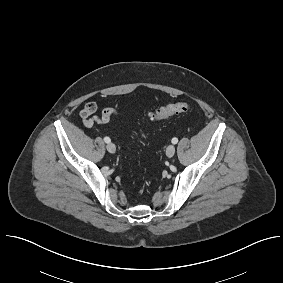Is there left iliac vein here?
Masks as SVG:
<instances>
[{"label": "left iliac vein", "mask_w": 283, "mask_h": 283, "mask_svg": "<svg viewBox=\"0 0 283 283\" xmlns=\"http://www.w3.org/2000/svg\"><path fill=\"white\" fill-rule=\"evenodd\" d=\"M175 154V146L173 144L169 145L166 149L167 157L171 158Z\"/></svg>", "instance_id": "left-iliac-vein-1"}]
</instances>
